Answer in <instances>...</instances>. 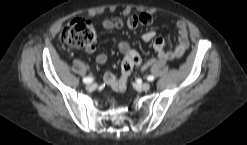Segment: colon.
Returning <instances> with one entry per match:
<instances>
[{
  "label": "colon",
  "mask_w": 247,
  "mask_h": 145,
  "mask_svg": "<svg viewBox=\"0 0 247 145\" xmlns=\"http://www.w3.org/2000/svg\"><path fill=\"white\" fill-rule=\"evenodd\" d=\"M151 23V19L146 14L131 16L127 20H118L116 26L134 29L146 26ZM61 40L70 47L86 49L93 45L96 39V32L90 20L86 18H76L63 27L60 33ZM136 56H131L122 64V72L125 76L129 75L128 70L132 63L136 61Z\"/></svg>",
  "instance_id": "obj_1"
}]
</instances>
